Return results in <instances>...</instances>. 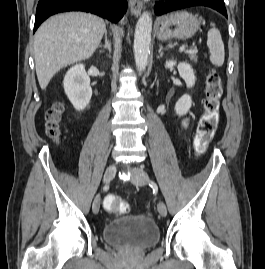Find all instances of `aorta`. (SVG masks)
Listing matches in <instances>:
<instances>
[{"label": "aorta", "instance_id": "762f6f07", "mask_svg": "<svg viewBox=\"0 0 265 269\" xmlns=\"http://www.w3.org/2000/svg\"><path fill=\"white\" fill-rule=\"evenodd\" d=\"M152 18L149 12L140 16L134 35V58L138 71H144L150 54Z\"/></svg>", "mask_w": 265, "mask_h": 269}]
</instances>
